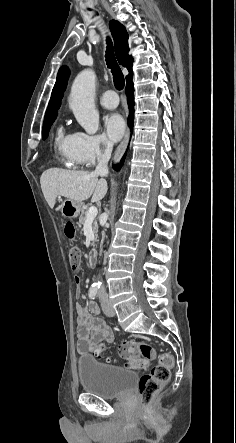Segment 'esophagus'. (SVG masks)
<instances>
[{
    "instance_id": "esophagus-1",
    "label": "esophagus",
    "mask_w": 236,
    "mask_h": 443,
    "mask_svg": "<svg viewBox=\"0 0 236 443\" xmlns=\"http://www.w3.org/2000/svg\"><path fill=\"white\" fill-rule=\"evenodd\" d=\"M129 136H130V132H129V130H127V133H126L123 141L120 143V145L118 146V148L115 152V155H114L115 162H117L124 154L126 147L128 145V142H129Z\"/></svg>"
}]
</instances>
